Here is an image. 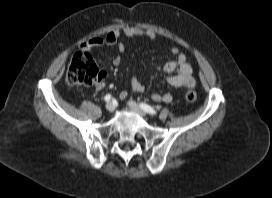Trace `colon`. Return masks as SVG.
<instances>
[{
	"label": "colon",
	"instance_id": "obj_1",
	"mask_svg": "<svg viewBox=\"0 0 272 198\" xmlns=\"http://www.w3.org/2000/svg\"><path fill=\"white\" fill-rule=\"evenodd\" d=\"M102 72L93 57L87 51H78L74 54L66 73V82L69 86H90L96 83ZM185 98L193 103L197 100L195 91H187Z\"/></svg>",
	"mask_w": 272,
	"mask_h": 198
}]
</instances>
